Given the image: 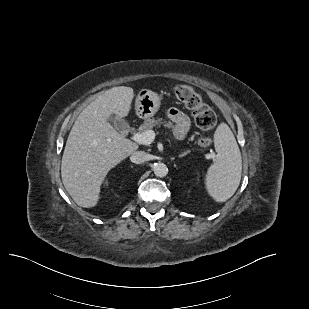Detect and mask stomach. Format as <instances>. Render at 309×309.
Masks as SVG:
<instances>
[{"label": "stomach", "mask_w": 309, "mask_h": 309, "mask_svg": "<svg viewBox=\"0 0 309 309\" xmlns=\"http://www.w3.org/2000/svg\"><path fill=\"white\" fill-rule=\"evenodd\" d=\"M160 105L161 102L158 94L147 89L141 90L135 100L136 113L142 119L154 116L159 110Z\"/></svg>", "instance_id": "obj_1"}]
</instances>
